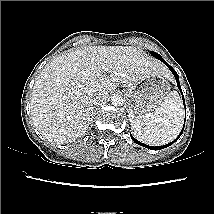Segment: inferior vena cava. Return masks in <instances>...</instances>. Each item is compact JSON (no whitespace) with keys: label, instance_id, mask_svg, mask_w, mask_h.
Instances as JSON below:
<instances>
[{"label":"inferior vena cava","instance_id":"inferior-vena-cava-1","mask_svg":"<svg viewBox=\"0 0 214 214\" xmlns=\"http://www.w3.org/2000/svg\"><path fill=\"white\" fill-rule=\"evenodd\" d=\"M107 99V92L104 90L92 91L89 93L90 103L96 105Z\"/></svg>","mask_w":214,"mask_h":214}]
</instances>
